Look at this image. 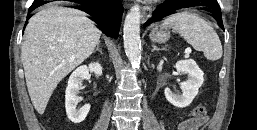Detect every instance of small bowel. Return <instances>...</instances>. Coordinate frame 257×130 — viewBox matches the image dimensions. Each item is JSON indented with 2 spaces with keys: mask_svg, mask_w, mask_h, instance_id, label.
<instances>
[{
  "mask_svg": "<svg viewBox=\"0 0 257 130\" xmlns=\"http://www.w3.org/2000/svg\"><path fill=\"white\" fill-rule=\"evenodd\" d=\"M204 122V119L202 120H195V119H189L184 122H182L179 125L178 130H197Z\"/></svg>",
  "mask_w": 257,
  "mask_h": 130,
  "instance_id": "small-bowel-1",
  "label": "small bowel"
}]
</instances>
